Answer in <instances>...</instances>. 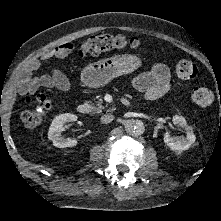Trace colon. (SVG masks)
Returning <instances> with one entry per match:
<instances>
[{
  "label": "colon",
  "instance_id": "1",
  "mask_svg": "<svg viewBox=\"0 0 221 221\" xmlns=\"http://www.w3.org/2000/svg\"><path fill=\"white\" fill-rule=\"evenodd\" d=\"M139 45L140 41L136 37L99 34L88 38L81 44L79 55L81 57L97 56L114 50L137 49ZM176 74L179 79L186 83V89L196 104L206 106L212 102L213 95L210 90L189 83L198 74V68L193 61L189 59L179 61L176 65ZM35 100L39 104L37 108L25 110L21 114L22 123L28 128L39 126L52 110V102L45 94H38ZM32 101L31 98H26L24 105L28 106Z\"/></svg>",
  "mask_w": 221,
  "mask_h": 221
}]
</instances>
